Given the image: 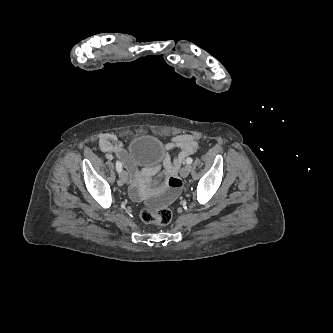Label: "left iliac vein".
Returning <instances> with one entry per match:
<instances>
[{
	"mask_svg": "<svg viewBox=\"0 0 333 333\" xmlns=\"http://www.w3.org/2000/svg\"><path fill=\"white\" fill-rule=\"evenodd\" d=\"M191 167L189 165L184 166L181 170H180V175L183 178H186L189 175Z\"/></svg>",
	"mask_w": 333,
	"mask_h": 333,
	"instance_id": "obj_1",
	"label": "left iliac vein"
}]
</instances>
